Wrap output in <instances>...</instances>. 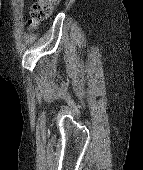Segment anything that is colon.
<instances>
[{
  "label": "colon",
  "instance_id": "obj_1",
  "mask_svg": "<svg viewBox=\"0 0 143 170\" xmlns=\"http://www.w3.org/2000/svg\"><path fill=\"white\" fill-rule=\"evenodd\" d=\"M59 1L60 0H37L31 8L29 25L36 27L40 22L47 19Z\"/></svg>",
  "mask_w": 143,
  "mask_h": 170
}]
</instances>
